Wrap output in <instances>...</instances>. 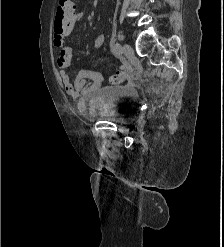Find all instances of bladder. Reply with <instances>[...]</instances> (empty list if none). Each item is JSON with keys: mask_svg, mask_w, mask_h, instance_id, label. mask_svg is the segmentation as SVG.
<instances>
[{"mask_svg": "<svg viewBox=\"0 0 224 247\" xmlns=\"http://www.w3.org/2000/svg\"><path fill=\"white\" fill-rule=\"evenodd\" d=\"M138 103L139 94L134 88L102 87L91 98L90 117L117 124H129L135 119Z\"/></svg>", "mask_w": 224, "mask_h": 247, "instance_id": "bladder-1", "label": "bladder"}]
</instances>
